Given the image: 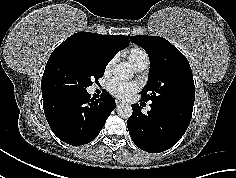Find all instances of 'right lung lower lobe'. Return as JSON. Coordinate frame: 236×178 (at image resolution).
Masks as SVG:
<instances>
[{
  "label": "right lung lower lobe",
  "instance_id": "1",
  "mask_svg": "<svg viewBox=\"0 0 236 178\" xmlns=\"http://www.w3.org/2000/svg\"><path fill=\"white\" fill-rule=\"evenodd\" d=\"M42 97L44 113L52 132L61 141L74 146L94 140L115 109V99L107 92L96 100L87 91Z\"/></svg>",
  "mask_w": 236,
  "mask_h": 178
}]
</instances>
